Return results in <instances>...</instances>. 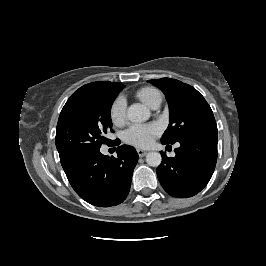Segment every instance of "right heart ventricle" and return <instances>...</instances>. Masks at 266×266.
Segmentation results:
<instances>
[{
	"mask_svg": "<svg viewBox=\"0 0 266 266\" xmlns=\"http://www.w3.org/2000/svg\"><path fill=\"white\" fill-rule=\"evenodd\" d=\"M136 96L149 107H154L162 100L160 91L153 87L141 88L137 91Z\"/></svg>",
	"mask_w": 266,
	"mask_h": 266,
	"instance_id": "e07e8e85",
	"label": "right heart ventricle"
}]
</instances>
